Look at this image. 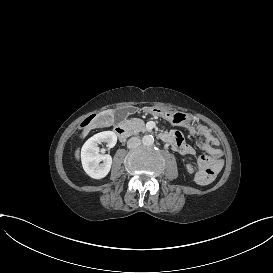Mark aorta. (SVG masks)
Returning <instances> with one entry per match:
<instances>
[{
	"label": "aorta",
	"mask_w": 273,
	"mask_h": 273,
	"mask_svg": "<svg viewBox=\"0 0 273 273\" xmlns=\"http://www.w3.org/2000/svg\"><path fill=\"white\" fill-rule=\"evenodd\" d=\"M142 143L145 145V146H150L154 143V137L152 135H144L142 137Z\"/></svg>",
	"instance_id": "aorta-1"
}]
</instances>
